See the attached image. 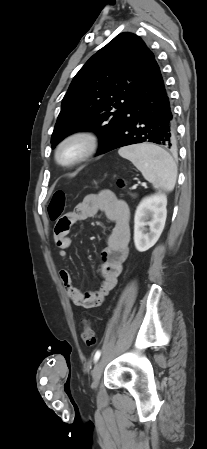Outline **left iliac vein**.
Here are the masks:
<instances>
[{
    "mask_svg": "<svg viewBox=\"0 0 207 449\" xmlns=\"http://www.w3.org/2000/svg\"><path fill=\"white\" fill-rule=\"evenodd\" d=\"M103 367H104V363L102 360H100L95 364V366L91 372L92 379H93V382H92L93 388H97L99 385V381H100V378H101L102 372H103Z\"/></svg>",
    "mask_w": 207,
    "mask_h": 449,
    "instance_id": "obj_1",
    "label": "left iliac vein"
}]
</instances>
